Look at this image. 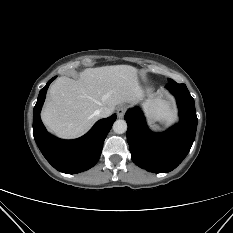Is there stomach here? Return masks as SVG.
<instances>
[{
  "instance_id": "stomach-1",
  "label": "stomach",
  "mask_w": 233,
  "mask_h": 233,
  "mask_svg": "<svg viewBox=\"0 0 233 233\" xmlns=\"http://www.w3.org/2000/svg\"><path fill=\"white\" fill-rule=\"evenodd\" d=\"M146 115L150 123H154L159 119V113L152 105H149L146 108Z\"/></svg>"
}]
</instances>
